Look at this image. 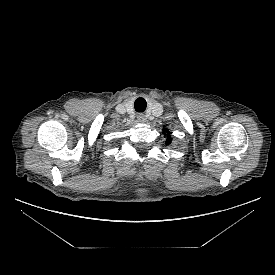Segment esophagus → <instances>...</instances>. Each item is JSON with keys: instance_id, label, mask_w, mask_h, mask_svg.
I'll return each mask as SVG.
<instances>
[{"instance_id": "esophagus-1", "label": "esophagus", "mask_w": 275, "mask_h": 275, "mask_svg": "<svg viewBox=\"0 0 275 275\" xmlns=\"http://www.w3.org/2000/svg\"><path fill=\"white\" fill-rule=\"evenodd\" d=\"M137 119L139 122H142V123L146 122V116L144 114H138Z\"/></svg>"}]
</instances>
